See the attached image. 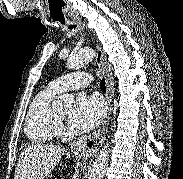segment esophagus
I'll use <instances>...</instances> for the list:
<instances>
[{
    "instance_id": "esophagus-1",
    "label": "esophagus",
    "mask_w": 183,
    "mask_h": 179,
    "mask_svg": "<svg viewBox=\"0 0 183 179\" xmlns=\"http://www.w3.org/2000/svg\"><path fill=\"white\" fill-rule=\"evenodd\" d=\"M83 27L85 24L79 22ZM96 62L101 67L102 73L105 76L106 79V98L109 105V115L111 111V100L113 95V80L112 75L110 72V69L108 67V64L106 62L105 53L103 52L101 46L97 44L96 46ZM109 115L106 118L102 128L98 131H95L94 133L82 137L76 142L73 143L72 149L74 152L78 154H93L95 153L99 147L102 145V142L104 140L105 134L107 132V127L109 125Z\"/></svg>"
}]
</instances>
